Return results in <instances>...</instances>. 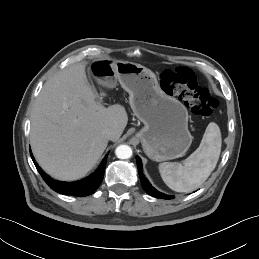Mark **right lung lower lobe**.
<instances>
[{"mask_svg":"<svg viewBox=\"0 0 259 259\" xmlns=\"http://www.w3.org/2000/svg\"><path fill=\"white\" fill-rule=\"evenodd\" d=\"M31 158L40 173L43 180L46 184L54 191L63 194V195H72V196H87L94 193L103 180V175L106 166L107 155L105 159L102 161L99 168L93 173L91 176L76 182H61L55 179H52L49 175H47L37 164L35 161L31 150H30Z\"/></svg>","mask_w":259,"mask_h":259,"instance_id":"right-lung-lower-lobe-1","label":"right lung lower lobe"}]
</instances>
